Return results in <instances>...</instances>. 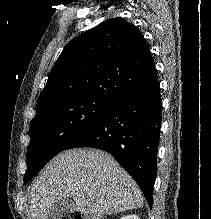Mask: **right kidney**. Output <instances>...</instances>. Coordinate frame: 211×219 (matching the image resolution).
<instances>
[{
  "label": "right kidney",
  "mask_w": 211,
  "mask_h": 219,
  "mask_svg": "<svg viewBox=\"0 0 211 219\" xmlns=\"http://www.w3.org/2000/svg\"><path fill=\"white\" fill-rule=\"evenodd\" d=\"M120 219H140V218H139V216H137L135 214H130V215L123 216Z\"/></svg>",
  "instance_id": "ca27d5eb"
}]
</instances>
